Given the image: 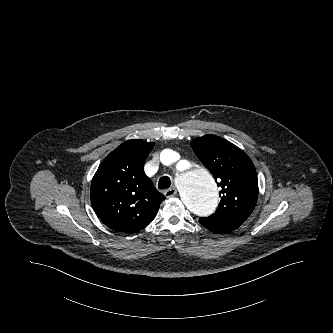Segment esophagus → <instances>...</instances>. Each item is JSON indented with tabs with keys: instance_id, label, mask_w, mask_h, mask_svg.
I'll use <instances>...</instances> for the list:
<instances>
[{
	"instance_id": "34e87169",
	"label": "esophagus",
	"mask_w": 333,
	"mask_h": 333,
	"mask_svg": "<svg viewBox=\"0 0 333 333\" xmlns=\"http://www.w3.org/2000/svg\"><path fill=\"white\" fill-rule=\"evenodd\" d=\"M176 194H177V190L175 187L169 188L164 192V195L166 198L174 197V196H176Z\"/></svg>"
}]
</instances>
